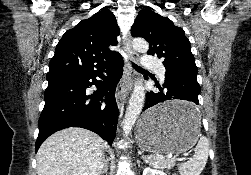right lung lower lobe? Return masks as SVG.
<instances>
[{
  "instance_id": "obj_1",
  "label": "right lung lower lobe",
  "mask_w": 251,
  "mask_h": 175,
  "mask_svg": "<svg viewBox=\"0 0 251 175\" xmlns=\"http://www.w3.org/2000/svg\"><path fill=\"white\" fill-rule=\"evenodd\" d=\"M122 73L123 60L117 59L106 70L48 80L35 152L47 137L68 127L89 129L112 144L119 114L114 93ZM97 76L102 81H97ZM93 84L97 91L89 96L86 88ZM89 98L92 100L87 101Z\"/></svg>"
}]
</instances>
